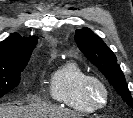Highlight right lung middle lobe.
Listing matches in <instances>:
<instances>
[{"mask_svg":"<svg viewBox=\"0 0 133 118\" xmlns=\"http://www.w3.org/2000/svg\"><path fill=\"white\" fill-rule=\"evenodd\" d=\"M27 63L15 66H0V98L14 89L20 82V73Z\"/></svg>","mask_w":133,"mask_h":118,"instance_id":"dd1d6c3e","label":"right lung middle lobe"}]
</instances>
